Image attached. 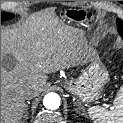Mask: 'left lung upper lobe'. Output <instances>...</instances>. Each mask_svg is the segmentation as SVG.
<instances>
[{
  "label": "left lung upper lobe",
  "mask_w": 123,
  "mask_h": 123,
  "mask_svg": "<svg viewBox=\"0 0 123 123\" xmlns=\"http://www.w3.org/2000/svg\"><path fill=\"white\" fill-rule=\"evenodd\" d=\"M117 25H118V31L123 38V21L120 19H117Z\"/></svg>",
  "instance_id": "obj_1"
}]
</instances>
